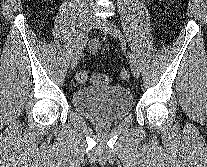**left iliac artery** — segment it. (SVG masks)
I'll return each instance as SVG.
<instances>
[{"mask_svg":"<svg viewBox=\"0 0 207 167\" xmlns=\"http://www.w3.org/2000/svg\"><path fill=\"white\" fill-rule=\"evenodd\" d=\"M116 27V25H114ZM117 28V27H116ZM117 32L119 33V37L121 39L122 42H125L124 40V36L122 35L121 31L118 29Z\"/></svg>","mask_w":207,"mask_h":167,"instance_id":"left-iliac-artery-1","label":"left iliac artery"}]
</instances>
